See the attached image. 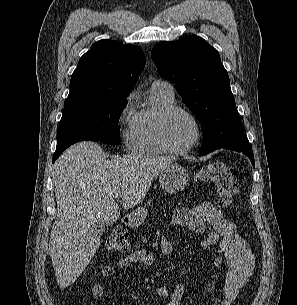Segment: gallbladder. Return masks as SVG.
<instances>
[{
  "label": "gallbladder",
  "instance_id": "gallbladder-1",
  "mask_svg": "<svg viewBox=\"0 0 297 305\" xmlns=\"http://www.w3.org/2000/svg\"><path fill=\"white\" fill-rule=\"evenodd\" d=\"M105 231V224L103 222H97L92 227V234L94 237H100Z\"/></svg>",
  "mask_w": 297,
  "mask_h": 305
}]
</instances>
